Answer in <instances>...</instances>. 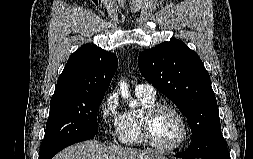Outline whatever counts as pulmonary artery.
<instances>
[{
    "instance_id": "pulmonary-artery-1",
    "label": "pulmonary artery",
    "mask_w": 253,
    "mask_h": 159,
    "mask_svg": "<svg viewBox=\"0 0 253 159\" xmlns=\"http://www.w3.org/2000/svg\"><path fill=\"white\" fill-rule=\"evenodd\" d=\"M136 94H144L149 96H155L156 91L155 88L148 83L138 84L135 88Z\"/></svg>"
}]
</instances>
